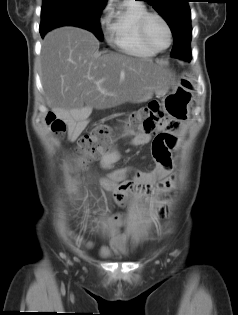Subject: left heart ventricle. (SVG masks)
<instances>
[{"label": "left heart ventricle", "instance_id": "b2bd125f", "mask_svg": "<svg viewBox=\"0 0 238 315\" xmlns=\"http://www.w3.org/2000/svg\"><path fill=\"white\" fill-rule=\"evenodd\" d=\"M147 36L151 43L158 48H164L168 43V34L163 23L152 18L147 25Z\"/></svg>", "mask_w": 238, "mask_h": 315}]
</instances>
